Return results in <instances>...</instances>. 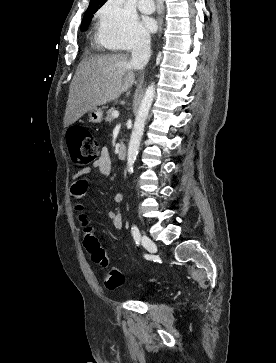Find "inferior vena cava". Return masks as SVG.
I'll return each instance as SVG.
<instances>
[{
  "mask_svg": "<svg viewBox=\"0 0 276 363\" xmlns=\"http://www.w3.org/2000/svg\"><path fill=\"white\" fill-rule=\"evenodd\" d=\"M151 38L149 34H140L132 47L130 64L134 69H143L151 56Z\"/></svg>",
  "mask_w": 276,
  "mask_h": 363,
  "instance_id": "inferior-vena-cava-1",
  "label": "inferior vena cava"
}]
</instances>
